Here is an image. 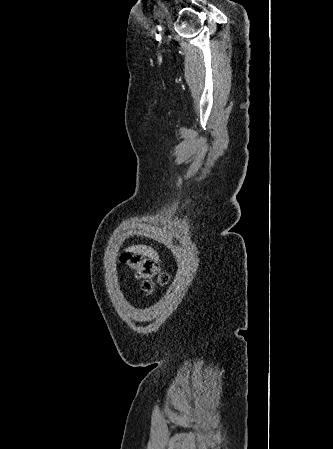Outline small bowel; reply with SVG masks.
Here are the masks:
<instances>
[{
    "mask_svg": "<svg viewBox=\"0 0 333 449\" xmlns=\"http://www.w3.org/2000/svg\"><path fill=\"white\" fill-rule=\"evenodd\" d=\"M121 297L124 298V294L123 293H121Z\"/></svg>",
    "mask_w": 333,
    "mask_h": 449,
    "instance_id": "small-bowel-1",
    "label": "small bowel"
}]
</instances>
